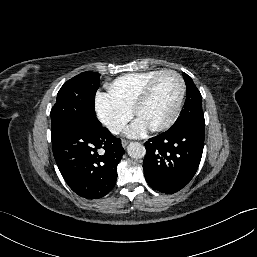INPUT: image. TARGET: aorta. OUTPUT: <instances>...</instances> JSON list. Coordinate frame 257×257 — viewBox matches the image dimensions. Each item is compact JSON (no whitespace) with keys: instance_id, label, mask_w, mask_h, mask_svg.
<instances>
[{"instance_id":"aorta-1","label":"aorta","mask_w":257,"mask_h":257,"mask_svg":"<svg viewBox=\"0 0 257 257\" xmlns=\"http://www.w3.org/2000/svg\"><path fill=\"white\" fill-rule=\"evenodd\" d=\"M127 152L130 157L140 159L145 156L146 149L141 143L132 142L128 145Z\"/></svg>"}]
</instances>
